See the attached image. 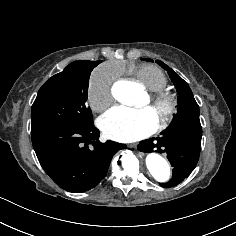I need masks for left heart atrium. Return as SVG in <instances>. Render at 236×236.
Masks as SVG:
<instances>
[{"mask_svg":"<svg viewBox=\"0 0 236 236\" xmlns=\"http://www.w3.org/2000/svg\"><path fill=\"white\" fill-rule=\"evenodd\" d=\"M99 126L110 139L133 142L146 137L154 130L155 115L150 108L116 106L101 116Z\"/></svg>","mask_w":236,"mask_h":236,"instance_id":"1","label":"left heart atrium"}]
</instances>
